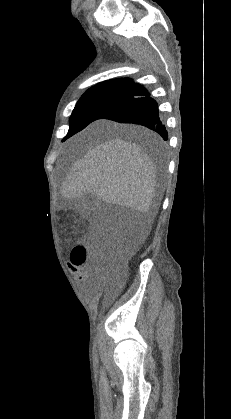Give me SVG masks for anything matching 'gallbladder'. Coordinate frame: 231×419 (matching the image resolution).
<instances>
[{
    "instance_id": "obj_1",
    "label": "gallbladder",
    "mask_w": 231,
    "mask_h": 419,
    "mask_svg": "<svg viewBox=\"0 0 231 419\" xmlns=\"http://www.w3.org/2000/svg\"><path fill=\"white\" fill-rule=\"evenodd\" d=\"M82 204L86 209L93 210L98 204V197L92 193H86L83 196Z\"/></svg>"
}]
</instances>
